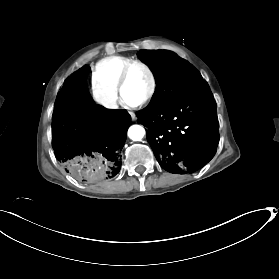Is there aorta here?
I'll return each mask as SVG.
<instances>
[{"label":"aorta","mask_w":279,"mask_h":279,"mask_svg":"<svg viewBox=\"0 0 279 279\" xmlns=\"http://www.w3.org/2000/svg\"><path fill=\"white\" fill-rule=\"evenodd\" d=\"M145 135V129L140 125H132L128 129V136L133 141H140Z\"/></svg>","instance_id":"762f6f07"}]
</instances>
